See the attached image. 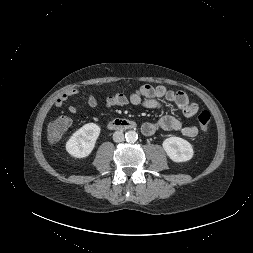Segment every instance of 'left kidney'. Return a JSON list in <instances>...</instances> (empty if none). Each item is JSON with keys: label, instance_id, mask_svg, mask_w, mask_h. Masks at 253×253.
I'll list each match as a JSON object with an SVG mask.
<instances>
[{"label": "left kidney", "instance_id": "obj_1", "mask_svg": "<svg viewBox=\"0 0 253 253\" xmlns=\"http://www.w3.org/2000/svg\"><path fill=\"white\" fill-rule=\"evenodd\" d=\"M163 149L174 162L189 161L194 154L192 145L180 137H170L163 141Z\"/></svg>", "mask_w": 253, "mask_h": 253}]
</instances>
